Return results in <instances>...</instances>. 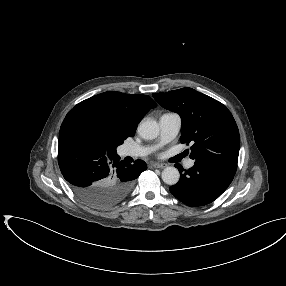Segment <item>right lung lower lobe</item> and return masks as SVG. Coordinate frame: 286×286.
Listing matches in <instances>:
<instances>
[{"label": "right lung lower lobe", "instance_id": "1", "mask_svg": "<svg viewBox=\"0 0 286 286\" xmlns=\"http://www.w3.org/2000/svg\"><path fill=\"white\" fill-rule=\"evenodd\" d=\"M117 154L63 121L59 132L58 163L74 193L95 208H109L130 192L134 179L146 170L143 160L122 163Z\"/></svg>", "mask_w": 286, "mask_h": 286}]
</instances>
